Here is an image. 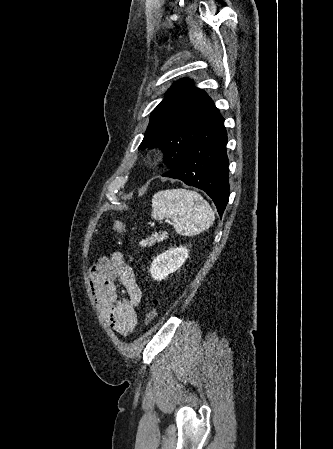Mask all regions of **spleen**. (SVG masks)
<instances>
[{
  "label": "spleen",
  "mask_w": 333,
  "mask_h": 449,
  "mask_svg": "<svg viewBox=\"0 0 333 449\" xmlns=\"http://www.w3.org/2000/svg\"><path fill=\"white\" fill-rule=\"evenodd\" d=\"M152 218L173 220L175 231L196 235L210 228L215 220L209 203L196 191L182 188L158 191L152 199Z\"/></svg>",
  "instance_id": "3e777b00"
}]
</instances>
